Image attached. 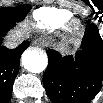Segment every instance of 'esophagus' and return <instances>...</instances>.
<instances>
[{
  "label": "esophagus",
  "instance_id": "obj_1",
  "mask_svg": "<svg viewBox=\"0 0 103 103\" xmlns=\"http://www.w3.org/2000/svg\"><path fill=\"white\" fill-rule=\"evenodd\" d=\"M33 45L37 46V47H44V46H46V43L42 39H36L33 41Z\"/></svg>",
  "mask_w": 103,
  "mask_h": 103
}]
</instances>
